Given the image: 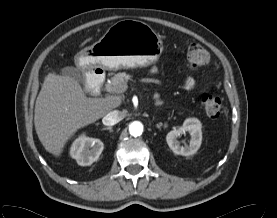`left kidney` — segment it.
<instances>
[{
    "mask_svg": "<svg viewBox=\"0 0 277 218\" xmlns=\"http://www.w3.org/2000/svg\"><path fill=\"white\" fill-rule=\"evenodd\" d=\"M201 127V122L197 118H187L181 127L170 131L166 136V141L173 153L182 156L195 154L202 143ZM185 132L190 134V143L181 146L177 138Z\"/></svg>",
    "mask_w": 277,
    "mask_h": 218,
    "instance_id": "1",
    "label": "left kidney"
}]
</instances>
